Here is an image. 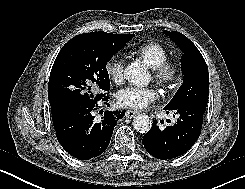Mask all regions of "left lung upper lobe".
<instances>
[{
    "label": "left lung upper lobe",
    "mask_w": 245,
    "mask_h": 189,
    "mask_svg": "<svg viewBox=\"0 0 245 189\" xmlns=\"http://www.w3.org/2000/svg\"><path fill=\"white\" fill-rule=\"evenodd\" d=\"M165 33L183 51L181 57L183 84L166 107L176 109L195 106L205 111L209 93V73L203 56L183 34L169 31Z\"/></svg>",
    "instance_id": "left-lung-upper-lobe-1"
}]
</instances>
